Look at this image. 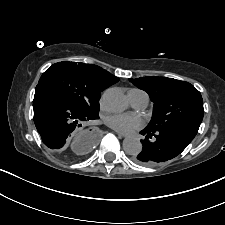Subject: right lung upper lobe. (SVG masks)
I'll return each instance as SVG.
<instances>
[{
  "instance_id": "right-lung-upper-lobe-1",
  "label": "right lung upper lobe",
  "mask_w": 225,
  "mask_h": 225,
  "mask_svg": "<svg viewBox=\"0 0 225 225\" xmlns=\"http://www.w3.org/2000/svg\"><path fill=\"white\" fill-rule=\"evenodd\" d=\"M83 66L88 70V72L92 75V77L95 79V81L105 87V89L112 84L118 82V78L112 74H110L108 71L102 69L101 67H98L96 65L92 64H84Z\"/></svg>"
}]
</instances>
